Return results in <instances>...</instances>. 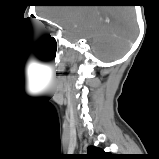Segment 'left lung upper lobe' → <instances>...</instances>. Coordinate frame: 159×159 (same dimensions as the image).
I'll use <instances>...</instances> for the list:
<instances>
[{
    "label": "left lung upper lobe",
    "mask_w": 159,
    "mask_h": 159,
    "mask_svg": "<svg viewBox=\"0 0 159 159\" xmlns=\"http://www.w3.org/2000/svg\"><path fill=\"white\" fill-rule=\"evenodd\" d=\"M117 156L96 147H88V153L82 159H116Z\"/></svg>",
    "instance_id": "left-lung-upper-lobe-1"
}]
</instances>
